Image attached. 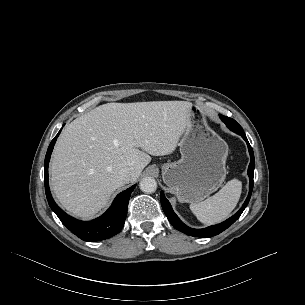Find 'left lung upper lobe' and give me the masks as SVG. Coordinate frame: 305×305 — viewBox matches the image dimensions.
<instances>
[{"instance_id":"1","label":"left lung upper lobe","mask_w":305,"mask_h":305,"mask_svg":"<svg viewBox=\"0 0 305 305\" xmlns=\"http://www.w3.org/2000/svg\"><path fill=\"white\" fill-rule=\"evenodd\" d=\"M220 118L222 119V121L226 124V126L230 130H232L238 134L244 132L242 127L234 119H231V118L223 116V115H220Z\"/></svg>"}]
</instances>
